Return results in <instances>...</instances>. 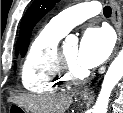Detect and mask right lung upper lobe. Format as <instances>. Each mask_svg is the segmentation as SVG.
Returning <instances> with one entry per match:
<instances>
[{
  "instance_id": "obj_1",
  "label": "right lung upper lobe",
  "mask_w": 123,
  "mask_h": 113,
  "mask_svg": "<svg viewBox=\"0 0 123 113\" xmlns=\"http://www.w3.org/2000/svg\"><path fill=\"white\" fill-rule=\"evenodd\" d=\"M16 54H18V48H16Z\"/></svg>"
}]
</instances>
